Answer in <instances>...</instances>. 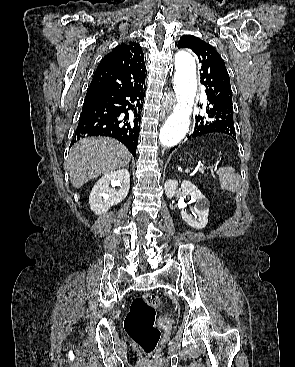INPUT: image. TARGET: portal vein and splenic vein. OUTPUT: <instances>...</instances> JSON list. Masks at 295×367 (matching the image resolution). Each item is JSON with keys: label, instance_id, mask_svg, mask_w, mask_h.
Masks as SVG:
<instances>
[{"label": "portal vein and splenic vein", "instance_id": "portal-vein-and-splenic-vein-1", "mask_svg": "<svg viewBox=\"0 0 295 367\" xmlns=\"http://www.w3.org/2000/svg\"><path fill=\"white\" fill-rule=\"evenodd\" d=\"M197 171H199L201 174H204V168H203V167L195 168V169H194V173H195V172H197ZM186 173H189V171H188V170H186Z\"/></svg>", "mask_w": 295, "mask_h": 367}]
</instances>
